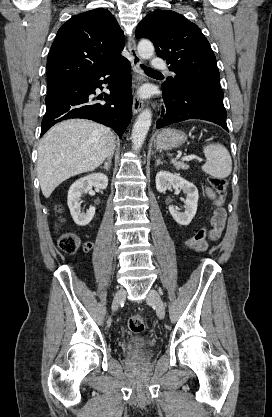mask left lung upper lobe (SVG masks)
<instances>
[{"label": "left lung upper lobe", "instance_id": "1", "mask_svg": "<svg viewBox=\"0 0 272 417\" xmlns=\"http://www.w3.org/2000/svg\"><path fill=\"white\" fill-rule=\"evenodd\" d=\"M137 39L149 38L157 56L166 59L176 75L162 84H179L223 98L215 55L199 27L174 11L155 10L137 26Z\"/></svg>", "mask_w": 272, "mask_h": 417}]
</instances>
